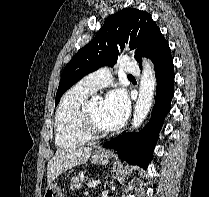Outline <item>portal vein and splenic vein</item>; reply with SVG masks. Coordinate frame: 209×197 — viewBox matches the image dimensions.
<instances>
[{"instance_id": "obj_1", "label": "portal vein and splenic vein", "mask_w": 209, "mask_h": 197, "mask_svg": "<svg viewBox=\"0 0 209 197\" xmlns=\"http://www.w3.org/2000/svg\"><path fill=\"white\" fill-rule=\"evenodd\" d=\"M98 184H100V181H92V182H89L87 184L88 188H93L95 186H97Z\"/></svg>"}]
</instances>
